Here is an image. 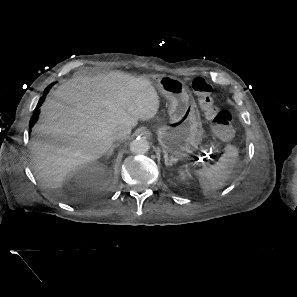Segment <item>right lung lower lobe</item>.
<instances>
[{"label": "right lung lower lobe", "instance_id": "right-lung-lower-lobe-1", "mask_svg": "<svg viewBox=\"0 0 297 297\" xmlns=\"http://www.w3.org/2000/svg\"><path fill=\"white\" fill-rule=\"evenodd\" d=\"M51 86H52V85L46 87V89H45V91H44V94H46V93L49 91V89H50ZM42 101H43V98H41V99L39 100L38 105H37V107H36V109H35V112H34V116H37V114H38V112H39L38 107L40 106V104L42 103ZM36 120H37V119L34 118V117L31 118V120H30V126H31V127L34 125V123H35Z\"/></svg>", "mask_w": 297, "mask_h": 297}]
</instances>
